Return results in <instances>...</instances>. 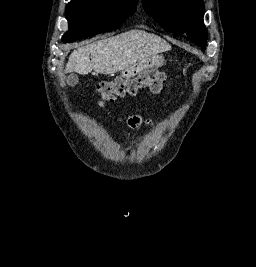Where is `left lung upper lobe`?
I'll return each mask as SVG.
<instances>
[{
	"instance_id": "5c2ea615",
	"label": "left lung upper lobe",
	"mask_w": 256,
	"mask_h": 267,
	"mask_svg": "<svg viewBox=\"0 0 256 267\" xmlns=\"http://www.w3.org/2000/svg\"><path fill=\"white\" fill-rule=\"evenodd\" d=\"M143 7L167 30L178 35L186 33L191 41L205 47L203 0H143Z\"/></svg>"
}]
</instances>
